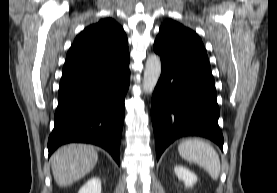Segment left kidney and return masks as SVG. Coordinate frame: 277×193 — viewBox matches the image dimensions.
<instances>
[{
    "mask_svg": "<svg viewBox=\"0 0 277 193\" xmlns=\"http://www.w3.org/2000/svg\"><path fill=\"white\" fill-rule=\"evenodd\" d=\"M174 171L179 180H182L186 187H192L197 182V176L188 168L176 165Z\"/></svg>",
    "mask_w": 277,
    "mask_h": 193,
    "instance_id": "5707ae66",
    "label": "left kidney"
}]
</instances>
